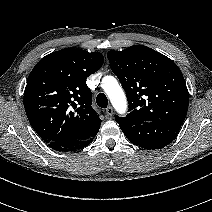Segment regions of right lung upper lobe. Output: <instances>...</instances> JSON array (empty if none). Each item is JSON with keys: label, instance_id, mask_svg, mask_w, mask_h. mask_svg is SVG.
Instances as JSON below:
<instances>
[{"label": "right lung upper lobe", "instance_id": "cb5924a9", "mask_svg": "<svg viewBox=\"0 0 212 212\" xmlns=\"http://www.w3.org/2000/svg\"><path fill=\"white\" fill-rule=\"evenodd\" d=\"M103 61L99 52L66 48L46 55L33 68L24 92V108L44 142L96 136L101 119L91 106L86 79Z\"/></svg>", "mask_w": 212, "mask_h": 212}]
</instances>
